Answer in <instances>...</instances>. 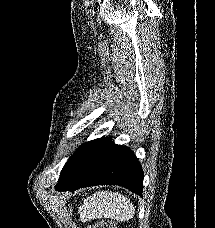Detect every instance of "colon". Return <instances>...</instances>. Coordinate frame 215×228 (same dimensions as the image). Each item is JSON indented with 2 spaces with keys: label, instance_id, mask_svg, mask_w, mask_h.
Returning <instances> with one entry per match:
<instances>
[{
  "label": "colon",
  "instance_id": "obj_1",
  "mask_svg": "<svg viewBox=\"0 0 215 228\" xmlns=\"http://www.w3.org/2000/svg\"><path fill=\"white\" fill-rule=\"evenodd\" d=\"M86 228H116V224L113 222H106L97 225H86Z\"/></svg>",
  "mask_w": 215,
  "mask_h": 228
}]
</instances>
